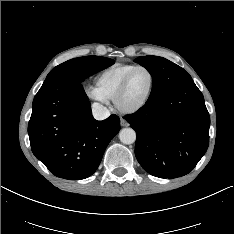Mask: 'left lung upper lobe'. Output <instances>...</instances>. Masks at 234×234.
<instances>
[{"label":"left lung upper lobe","instance_id":"1","mask_svg":"<svg viewBox=\"0 0 234 234\" xmlns=\"http://www.w3.org/2000/svg\"><path fill=\"white\" fill-rule=\"evenodd\" d=\"M134 61L145 67L153 78L152 91L147 101L181 82L192 79L183 68L163 57L141 56Z\"/></svg>","mask_w":234,"mask_h":234}]
</instances>
